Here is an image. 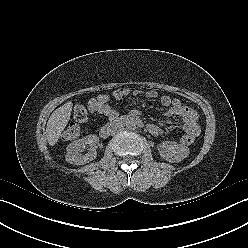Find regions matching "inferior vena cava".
Returning <instances> with one entry per match:
<instances>
[{
	"label": "inferior vena cava",
	"mask_w": 248,
	"mask_h": 248,
	"mask_svg": "<svg viewBox=\"0 0 248 248\" xmlns=\"http://www.w3.org/2000/svg\"><path fill=\"white\" fill-rule=\"evenodd\" d=\"M123 128L121 126H119L118 128L115 129V131H119L122 130Z\"/></svg>",
	"instance_id": "602c4592"
}]
</instances>
